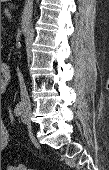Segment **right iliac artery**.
Segmentation results:
<instances>
[{
	"label": "right iliac artery",
	"instance_id": "82829eb1",
	"mask_svg": "<svg viewBox=\"0 0 109 170\" xmlns=\"http://www.w3.org/2000/svg\"><path fill=\"white\" fill-rule=\"evenodd\" d=\"M22 112H23V104L22 103H18L16 105L15 109H14V113H15L16 116L19 117V116H21Z\"/></svg>",
	"mask_w": 109,
	"mask_h": 170
}]
</instances>
